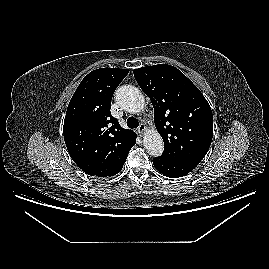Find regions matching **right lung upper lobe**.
I'll return each instance as SVG.
<instances>
[{"mask_svg": "<svg viewBox=\"0 0 269 269\" xmlns=\"http://www.w3.org/2000/svg\"><path fill=\"white\" fill-rule=\"evenodd\" d=\"M129 70L100 68L90 72L71 98L63 133L73 161L88 175L117 174L137 135L110 113L113 93Z\"/></svg>", "mask_w": 269, "mask_h": 269, "instance_id": "1", "label": "right lung upper lobe"}]
</instances>
